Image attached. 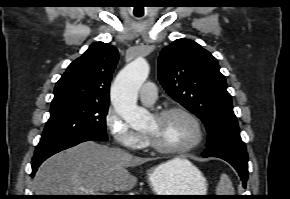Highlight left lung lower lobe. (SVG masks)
I'll return each instance as SVG.
<instances>
[{
  "instance_id": "left-lung-lower-lobe-1",
  "label": "left lung lower lobe",
  "mask_w": 290,
  "mask_h": 199,
  "mask_svg": "<svg viewBox=\"0 0 290 199\" xmlns=\"http://www.w3.org/2000/svg\"><path fill=\"white\" fill-rule=\"evenodd\" d=\"M203 157H217L230 163L240 175L243 186L246 187V181L248 178L247 170V151L246 146L241 140H229L219 145L208 147Z\"/></svg>"
}]
</instances>
